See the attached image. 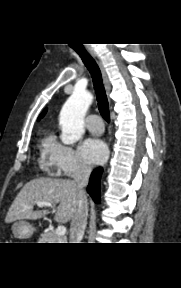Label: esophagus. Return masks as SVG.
<instances>
[{
    "label": "esophagus",
    "instance_id": "34e87169",
    "mask_svg": "<svg viewBox=\"0 0 181 288\" xmlns=\"http://www.w3.org/2000/svg\"><path fill=\"white\" fill-rule=\"evenodd\" d=\"M88 52L93 57V59L96 61L97 65H98V67H99V69L101 71L104 88H105L106 94H107V96L109 98V94H110V91H111V84H110L106 69H105L101 59L99 58V56L97 55V53L95 51L88 50Z\"/></svg>",
    "mask_w": 181,
    "mask_h": 288
}]
</instances>
